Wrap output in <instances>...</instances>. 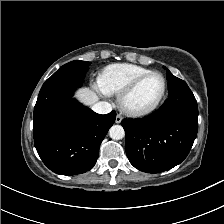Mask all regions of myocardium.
I'll use <instances>...</instances> for the list:
<instances>
[{
  "label": "myocardium",
  "instance_id": "obj_1",
  "mask_svg": "<svg viewBox=\"0 0 224 224\" xmlns=\"http://www.w3.org/2000/svg\"><path fill=\"white\" fill-rule=\"evenodd\" d=\"M153 75H157L159 77H161L162 81H163V88L162 91L160 93V95L158 96V98L156 99V101L151 104L148 107L145 108H131L126 104L127 98L135 91V89L148 77L153 76ZM167 92V79L165 78V76L158 71H151L148 73H145L143 75L138 76L137 78H135L133 81H131L118 95V103L120 108L127 113L128 115L131 116H143V115H147L151 112H153L154 110H156L159 105L161 104L162 100L165 97V94Z\"/></svg>",
  "mask_w": 224,
  "mask_h": 224
}]
</instances>
